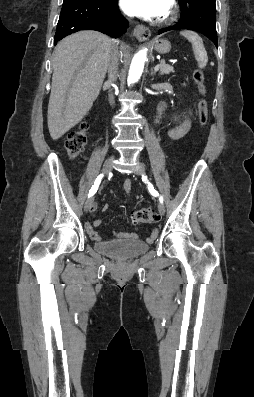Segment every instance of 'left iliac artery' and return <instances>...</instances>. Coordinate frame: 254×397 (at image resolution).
I'll return each instance as SVG.
<instances>
[{
	"instance_id": "obj_1",
	"label": "left iliac artery",
	"mask_w": 254,
	"mask_h": 397,
	"mask_svg": "<svg viewBox=\"0 0 254 397\" xmlns=\"http://www.w3.org/2000/svg\"><path fill=\"white\" fill-rule=\"evenodd\" d=\"M142 180H143L145 183L148 184V189H149L150 193H151L153 196L159 197V200H160V202L162 203V202H163L162 197H161V196L159 195V193L153 188V186L148 182L147 176L142 175Z\"/></svg>"
}]
</instances>
